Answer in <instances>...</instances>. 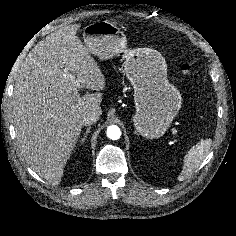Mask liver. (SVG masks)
Returning <instances> with one entry per match:
<instances>
[{
    "mask_svg": "<svg viewBox=\"0 0 236 236\" xmlns=\"http://www.w3.org/2000/svg\"><path fill=\"white\" fill-rule=\"evenodd\" d=\"M79 28L74 24L59 29L29 52L12 96L20 151L33 171L54 186L60 183L81 134L82 115L88 111L102 114L105 77L78 39ZM80 88L96 92L81 96Z\"/></svg>",
    "mask_w": 236,
    "mask_h": 236,
    "instance_id": "liver-1",
    "label": "liver"
}]
</instances>
